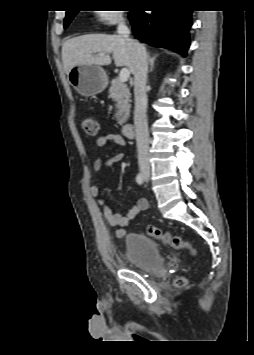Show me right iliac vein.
<instances>
[{"label":"right iliac vein","mask_w":254,"mask_h":355,"mask_svg":"<svg viewBox=\"0 0 254 355\" xmlns=\"http://www.w3.org/2000/svg\"><path fill=\"white\" fill-rule=\"evenodd\" d=\"M142 174H143V176L148 177L149 176V170L143 169L142 170Z\"/></svg>","instance_id":"right-iliac-vein-1"}]
</instances>
